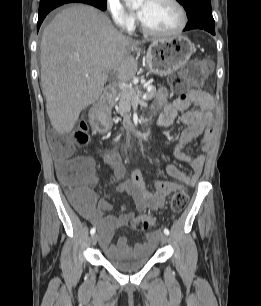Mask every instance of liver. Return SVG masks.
Listing matches in <instances>:
<instances>
[{
  "mask_svg": "<svg viewBox=\"0 0 261 306\" xmlns=\"http://www.w3.org/2000/svg\"><path fill=\"white\" fill-rule=\"evenodd\" d=\"M139 44L88 5H72L54 17L43 31L40 62L47 114L58 133L71 132L80 112L99 99L110 71L122 82L135 77L129 50Z\"/></svg>",
  "mask_w": 261,
  "mask_h": 306,
  "instance_id": "1",
  "label": "liver"
}]
</instances>
